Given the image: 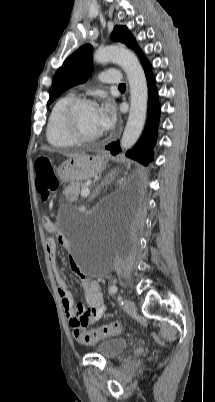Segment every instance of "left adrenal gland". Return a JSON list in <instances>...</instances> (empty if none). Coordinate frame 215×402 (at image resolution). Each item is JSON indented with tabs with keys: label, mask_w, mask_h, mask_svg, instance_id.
I'll return each mask as SVG.
<instances>
[{
	"label": "left adrenal gland",
	"mask_w": 215,
	"mask_h": 402,
	"mask_svg": "<svg viewBox=\"0 0 215 402\" xmlns=\"http://www.w3.org/2000/svg\"><path fill=\"white\" fill-rule=\"evenodd\" d=\"M113 179H114L113 173H108L104 177V179L101 181V183L93 190V192L90 196V200H93L94 198H96L100 194L102 188H104V186L107 187V185H109Z\"/></svg>",
	"instance_id": "1"
}]
</instances>
